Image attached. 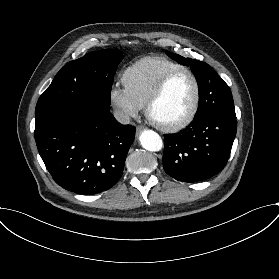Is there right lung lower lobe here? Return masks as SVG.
Listing matches in <instances>:
<instances>
[{
    "label": "right lung lower lobe",
    "mask_w": 279,
    "mask_h": 279,
    "mask_svg": "<svg viewBox=\"0 0 279 279\" xmlns=\"http://www.w3.org/2000/svg\"><path fill=\"white\" fill-rule=\"evenodd\" d=\"M35 115L37 148L58 185L93 195L118 182L135 127L121 125L108 108L86 98L49 105Z\"/></svg>",
    "instance_id": "1"
}]
</instances>
